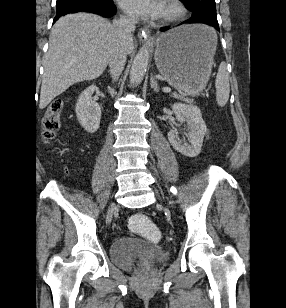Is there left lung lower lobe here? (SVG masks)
Masks as SVG:
<instances>
[{
	"instance_id": "left-lung-lower-lobe-1",
	"label": "left lung lower lobe",
	"mask_w": 286,
	"mask_h": 308,
	"mask_svg": "<svg viewBox=\"0 0 286 308\" xmlns=\"http://www.w3.org/2000/svg\"><path fill=\"white\" fill-rule=\"evenodd\" d=\"M192 11V17L183 21L181 24H207L211 25L217 30H219L217 16H216V6H200ZM169 27L161 28V31L168 30ZM220 31V30H219Z\"/></svg>"
}]
</instances>
